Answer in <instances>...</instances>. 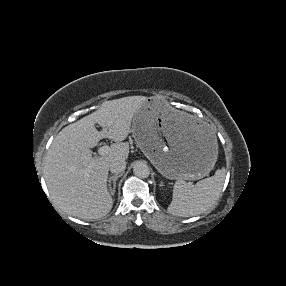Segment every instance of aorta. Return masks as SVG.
Wrapping results in <instances>:
<instances>
[{
  "mask_svg": "<svg viewBox=\"0 0 286 286\" xmlns=\"http://www.w3.org/2000/svg\"><path fill=\"white\" fill-rule=\"evenodd\" d=\"M133 173L139 178H147L150 175V169L145 162L136 161L133 165Z\"/></svg>",
  "mask_w": 286,
  "mask_h": 286,
  "instance_id": "762f6f07",
  "label": "aorta"
}]
</instances>
